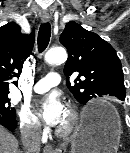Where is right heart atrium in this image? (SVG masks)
Here are the masks:
<instances>
[{"mask_svg": "<svg viewBox=\"0 0 130 153\" xmlns=\"http://www.w3.org/2000/svg\"><path fill=\"white\" fill-rule=\"evenodd\" d=\"M19 125L22 133L29 138H38L42 132L39 119L28 109L22 108L19 112Z\"/></svg>", "mask_w": 130, "mask_h": 153, "instance_id": "d8ad5b80", "label": "right heart atrium"}]
</instances>
